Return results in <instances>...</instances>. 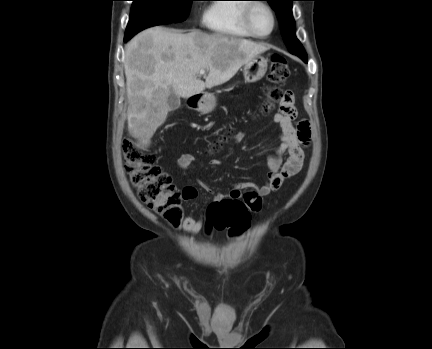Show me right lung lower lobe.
Returning <instances> with one entry per match:
<instances>
[{"label": "right lung lower lobe", "mask_w": 432, "mask_h": 349, "mask_svg": "<svg viewBox=\"0 0 432 349\" xmlns=\"http://www.w3.org/2000/svg\"><path fill=\"white\" fill-rule=\"evenodd\" d=\"M130 39V37H128V36H125V39H124V41L126 42L127 40H129Z\"/></svg>", "instance_id": "obj_1"}]
</instances>
